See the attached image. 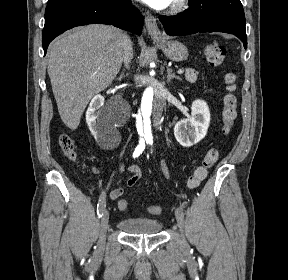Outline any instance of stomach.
Here are the masks:
<instances>
[{"instance_id":"0dacf381","label":"stomach","mask_w":288,"mask_h":280,"mask_svg":"<svg viewBox=\"0 0 288 280\" xmlns=\"http://www.w3.org/2000/svg\"><path fill=\"white\" fill-rule=\"evenodd\" d=\"M163 51V53L170 60L173 61H183L188 58V49L187 47L179 41H169V40H160L156 39Z\"/></svg>"}]
</instances>
